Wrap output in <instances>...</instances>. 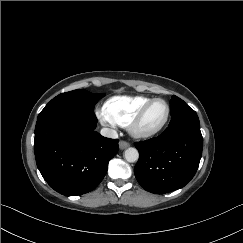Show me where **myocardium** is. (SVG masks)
Masks as SVG:
<instances>
[{"instance_id":"f54148a6","label":"myocardium","mask_w":243,"mask_h":243,"mask_svg":"<svg viewBox=\"0 0 243 243\" xmlns=\"http://www.w3.org/2000/svg\"><path fill=\"white\" fill-rule=\"evenodd\" d=\"M156 102H163L166 106L167 112L164 121L156 128L151 130H145L141 127L143 118L146 114V112L149 110V108L155 104ZM170 118V106L169 103L163 99V98H154L150 100L148 103H146L139 111L138 113L132 118L128 125V131L129 133L135 137V138H150L155 136L156 134L160 133L165 126L167 125Z\"/></svg>"}]
</instances>
